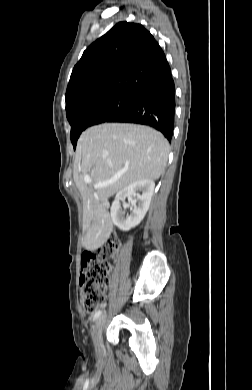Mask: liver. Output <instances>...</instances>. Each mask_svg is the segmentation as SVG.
<instances>
[{
  "label": "liver",
  "mask_w": 252,
  "mask_h": 390,
  "mask_svg": "<svg viewBox=\"0 0 252 390\" xmlns=\"http://www.w3.org/2000/svg\"><path fill=\"white\" fill-rule=\"evenodd\" d=\"M168 153V141L147 126L104 123L81 134L73 178L83 199V247L86 250L101 247L113 230L108 198L136 181L158 179L164 172ZM86 175L92 182L84 181ZM116 177V181L106 187H94Z\"/></svg>",
  "instance_id": "liver-1"
}]
</instances>
